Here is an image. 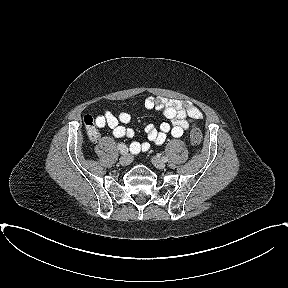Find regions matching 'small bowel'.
Wrapping results in <instances>:
<instances>
[{
	"mask_svg": "<svg viewBox=\"0 0 288 288\" xmlns=\"http://www.w3.org/2000/svg\"><path fill=\"white\" fill-rule=\"evenodd\" d=\"M144 106L149 110L162 111L170 123L163 122L158 128L152 124L147 125L145 133L148 141H133L130 144V151L133 154L149 150L151 143L162 145L168 134L175 138L181 137L188 129L190 121L200 120L203 117L201 110L189 101L148 97ZM130 120L131 115L129 113L123 112L116 116L111 111L106 110L102 115L96 117L95 123L100 128L107 126L115 137H133L134 131L126 127Z\"/></svg>",
	"mask_w": 288,
	"mask_h": 288,
	"instance_id": "c3829d8e",
	"label": "small bowel"
}]
</instances>
